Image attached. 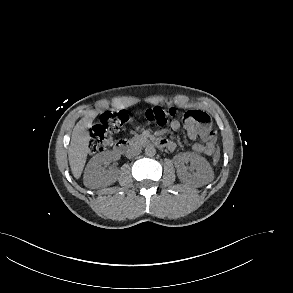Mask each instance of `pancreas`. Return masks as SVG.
<instances>
[{
  "label": "pancreas",
  "mask_w": 293,
  "mask_h": 293,
  "mask_svg": "<svg viewBox=\"0 0 293 293\" xmlns=\"http://www.w3.org/2000/svg\"><path fill=\"white\" fill-rule=\"evenodd\" d=\"M148 141L147 136H145L144 134H140V135H135L133 138L130 139V142L132 144H143L146 143Z\"/></svg>",
  "instance_id": "pancreas-1"
}]
</instances>
